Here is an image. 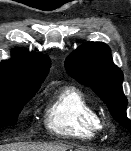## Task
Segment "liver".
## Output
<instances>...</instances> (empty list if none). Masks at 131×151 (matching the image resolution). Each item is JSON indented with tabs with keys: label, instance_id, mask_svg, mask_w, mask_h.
<instances>
[{
	"label": "liver",
	"instance_id": "liver-1",
	"mask_svg": "<svg viewBox=\"0 0 131 151\" xmlns=\"http://www.w3.org/2000/svg\"><path fill=\"white\" fill-rule=\"evenodd\" d=\"M69 149L71 148L64 144L35 145L27 143H14L0 146V151H67Z\"/></svg>",
	"mask_w": 131,
	"mask_h": 151
}]
</instances>
